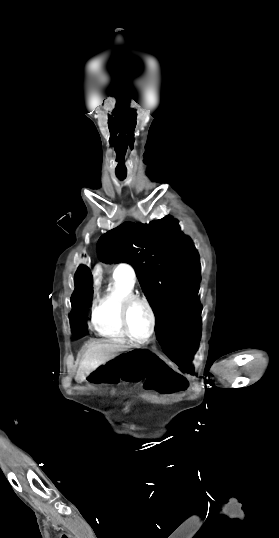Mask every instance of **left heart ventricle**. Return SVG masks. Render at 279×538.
Wrapping results in <instances>:
<instances>
[{
	"instance_id": "obj_1",
	"label": "left heart ventricle",
	"mask_w": 279,
	"mask_h": 538,
	"mask_svg": "<svg viewBox=\"0 0 279 538\" xmlns=\"http://www.w3.org/2000/svg\"><path fill=\"white\" fill-rule=\"evenodd\" d=\"M100 210L113 211L116 207H96ZM100 222H106L105 219H99ZM128 323L131 333L137 339H145L151 327L150 315L147 308L142 304H134L128 312Z\"/></svg>"
}]
</instances>
